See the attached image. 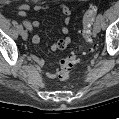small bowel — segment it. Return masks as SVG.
Here are the masks:
<instances>
[{
	"mask_svg": "<svg viewBox=\"0 0 119 119\" xmlns=\"http://www.w3.org/2000/svg\"><path fill=\"white\" fill-rule=\"evenodd\" d=\"M59 8L64 16V26L62 28V33L65 36L64 38L60 39L58 42L54 43L51 46L52 51H57V50H62L67 47V45L70 43L71 39L68 36L69 34V28L68 25L70 23L71 19V11L70 8L66 4H60ZM49 9L48 5H41V4H36V5H30V4H22L18 7V14L21 17H24L27 15L29 11H46ZM24 26L32 31L35 28H38L40 23L39 21H28L24 20L23 21ZM32 42L33 44H39L40 42V36L38 34H34L32 37ZM32 60L36 62L39 66H42L44 64L43 59L37 57V56H32ZM47 77L50 79H54L58 77V71H50L47 73Z\"/></svg>",
	"mask_w": 119,
	"mask_h": 119,
	"instance_id": "1",
	"label": "small bowel"
}]
</instances>
